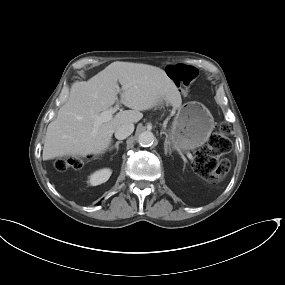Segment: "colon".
<instances>
[{
  "instance_id": "obj_1",
  "label": "colon",
  "mask_w": 285,
  "mask_h": 285,
  "mask_svg": "<svg viewBox=\"0 0 285 285\" xmlns=\"http://www.w3.org/2000/svg\"><path fill=\"white\" fill-rule=\"evenodd\" d=\"M167 71L177 84L188 83L193 77V68L190 66L171 64L167 66ZM228 131L229 126L226 124L217 126L208 143L196 153L193 167L207 181L219 182L229 171L228 160L220 158L231 151L232 145L227 137ZM55 166L60 171L79 169L82 166V160L77 156H64L57 159Z\"/></svg>"
}]
</instances>
